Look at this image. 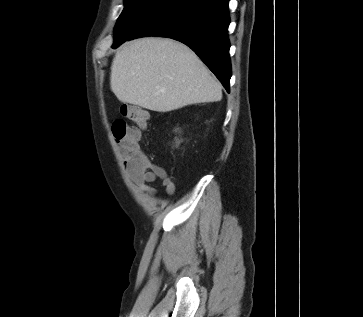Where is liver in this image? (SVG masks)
I'll use <instances>...</instances> for the list:
<instances>
[{"label": "liver", "mask_w": 363, "mask_h": 317, "mask_svg": "<svg viewBox=\"0 0 363 317\" xmlns=\"http://www.w3.org/2000/svg\"><path fill=\"white\" fill-rule=\"evenodd\" d=\"M110 86L119 101L157 112L222 99L220 83L197 55L166 38L125 44L113 59Z\"/></svg>", "instance_id": "liver-1"}]
</instances>
